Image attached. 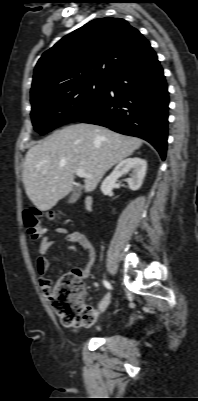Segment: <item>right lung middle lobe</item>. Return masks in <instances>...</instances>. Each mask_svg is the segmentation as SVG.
Here are the masks:
<instances>
[{"label":"right lung middle lobe","instance_id":"obj_1","mask_svg":"<svg viewBox=\"0 0 198 401\" xmlns=\"http://www.w3.org/2000/svg\"><path fill=\"white\" fill-rule=\"evenodd\" d=\"M106 88L107 81L92 80L39 95L31 101L34 129L43 135L78 120L97 104Z\"/></svg>","mask_w":198,"mask_h":401}]
</instances>
